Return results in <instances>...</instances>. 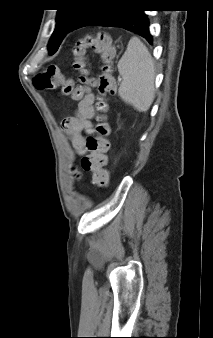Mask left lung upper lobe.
Listing matches in <instances>:
<instances>
[{"label":"left lung upper lobe","mask_w":213,"mask_h":338,"mask_svg":"<svg viewBox=\"0 0 213 338\" xmlns=\"http://www.w3.org/2000/svg\"><path fill=\"white\" fill-rule=\"evenodd\" d=\"M64 8L58 10L55 30L50 38L49 54H54L73 26L96 4L104 0H62Z\"/></svg>","instance_id":"1"}]
</instances>
